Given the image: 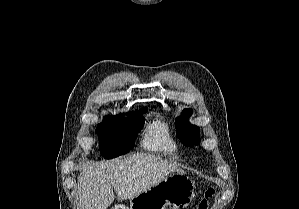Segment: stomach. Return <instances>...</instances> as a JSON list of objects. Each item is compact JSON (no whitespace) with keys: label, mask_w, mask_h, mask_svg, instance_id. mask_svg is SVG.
<instances>
[{"label":"stomach","mask_w":299,"mask_h":209,"mask_svg":"<svg viewBox=\"0 0 299 209\" xmlns=\"http://www.w3.org/2000/svg\"><path fill=\"white\" fill-rule=\"evenodd\" d=\"M195 183L183 173H173L157 185L130 199V208L117 204L112 209H185L194 197Z\"/></svg>","instance_id":"stomach-1"}]
</instances>
